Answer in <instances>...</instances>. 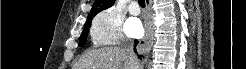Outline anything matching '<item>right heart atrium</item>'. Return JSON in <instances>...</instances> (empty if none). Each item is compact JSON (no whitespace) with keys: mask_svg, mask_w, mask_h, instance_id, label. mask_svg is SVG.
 Instances as JSON below:
<instances>
[{"mask_svg":"<svg viewBox=\"0 0 246 69\" xmlns=\"http://www.w3.org/2000/svg\"><path fill=\"white\" fill-rule=\"evenodd\" d=\"M123 17L116 10L106 8L93 19L89 36L93 46H107L119 43L124 39L122 29Z\"/></svg>","mask_w":246,"mask_h":69,"instance_id":"right-heart-atrium-1","label":"right heart atrium"}]
</instances>
